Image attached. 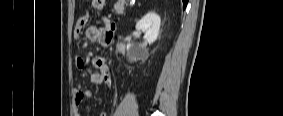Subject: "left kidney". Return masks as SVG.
<instances>
[{
  "label": "left kidney",
  "instance_id": "left-kidney-1",
  "mask_svg": "<svg viewBox=\"0 0 283 116\" xmlns=\"http://www.w3.org/2000/svg\"><path fill=\"white\" fill-rule=\"evenodd\" d=\"M160 17L155 12H149L136 24V29L144 32L145 42L134 46L133 44L128 45L125 50L129 61H138L147 59L149 54L146 48V43L149 45L156 41L159 29H160Z\"/></svg>",
  "mask_w": 283,
  "mask_h": 116
}]
</instances>
